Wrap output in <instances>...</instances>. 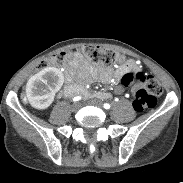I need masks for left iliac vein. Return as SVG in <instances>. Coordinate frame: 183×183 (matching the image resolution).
<instances>
[{
	"label": "left iliac vein",
	"instance_id": "1",
	"mask_svg": "<svg viewBox=\"0 0 183 183\" xmlns=\"http://www.w3.org/2000/svg\"><path fill=\"white\" fill-rule=\"evenodd\" d=\"M90 103L96 107H102L101 103L98 100H92Z\"/></svg>",
	"mask_w": 183,
	"mask_h": 183
}]
</instances>
